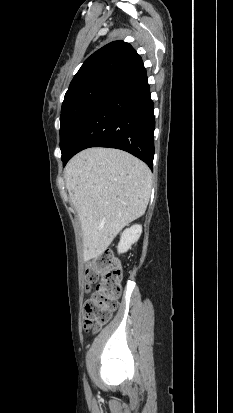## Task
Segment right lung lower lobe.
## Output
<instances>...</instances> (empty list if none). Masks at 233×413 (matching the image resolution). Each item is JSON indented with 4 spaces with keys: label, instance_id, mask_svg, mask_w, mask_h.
Wrapping results in <instances>:
<instances>
[{
    "label": "right lung lower lobe",
    "instance_id": "98d812e1",
    "mask_svg": "<svg viewBox=\"0 0 233 413\" xmlns=\"http://www.w3.org/2000/svg\"><path fill=\"white\" fill-rule=\"evenodd\" d=\"M153 108L146 69L141 61L118 77L105 93L62 158L63 165L83 149L110 147L133 154L152 169Z\"/></svg>",
    "mask_w": 233,
    "mask_h": 413
}]
</instances>
